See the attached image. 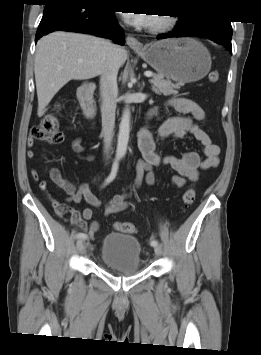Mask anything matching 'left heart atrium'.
<instances>
[{"label": "left heart atrium", "mask_w": 261, "mask_h": 355, "mask_svg": "<svg viewBox=\"0 0 261 355\" xmlns=\"http://www.w3.org/2000/svg\"><path fill=\"white\" fill-rule=\"evenodd\" d=\"M125 21L137 27H149L156 21L155 16L151 13H127L123 12Z\"/></svg>", "instance_id": "obj_1"}]
</instances>
